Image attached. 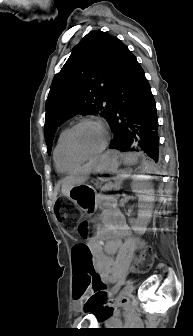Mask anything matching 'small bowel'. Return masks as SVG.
I'll return each mask as SVG.
<instances>
[{
	"instance_id": "obj_1",
	"label": "small bowel",
	"mask_w": 193,
	"mask_h": 336,
	"mask_svg": "<svg viewBox=\"0 0 193 336\" xmlns=\"http://www.w3.org/2000/svg\"><path fill=\"white\" fill-rule=\"evenodd\" d=\"M105 214L107 216L105 223L98 228L95 235L86 243V246L90 253L94 271L103 281L112 283L119 276L124 263L123 258L114 261L112 255L122 247L123 238L128 233V226L117 211H106ZM93 293L94 288L91 284H88L85 288V294L92 295ZM113 323L114 320L111 321V324Z\"/></svg>"
}]
</instances>
